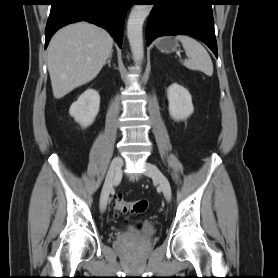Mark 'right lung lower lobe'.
Returning a JSON list of instances; mask_svg holds the SVG:
<instances>
[{
  "label": "right lung lower lobe",
  "mask_w": 278,
  "mask_h": 278,
  "mask_svg": "<svg viewBox=\"0 0 278 278\" xmlns=\"http://www.w3.org/2000/svg\"><path fill=\"white\" fill-rule=\"evenodd\" d=\"M132 2V0H52L45 30V48L58 29L82 20L106 29L121 47L124 19Z\"/></svg>",
  "instance_id": "1"
}]
</instances>
